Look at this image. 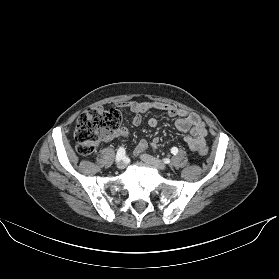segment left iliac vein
Here are the masks:
<instances>
[{"label":"left iliac vein","instance_id":"1","mask_svg":"<svg viewBox=\"0 0 279 279\" xmlns=\"http://www.w3.org/2000/svg\"><path fill=\"white\" fill-rule=\"evenodd\" d=\"M141 159L143 161L155 166L157 169H159L161 171H165L167 169V166L165 163H163L162 161H160L152 156H149L147 154L141 155Z\"/></svg>","mask_w":279,"mask_h":279}]
</instances>
